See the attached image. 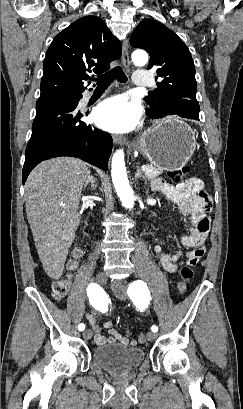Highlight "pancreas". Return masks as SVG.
<instances>
[{
  "mask_svg": "<svg viewBox=\"0 0 243 409\" xmlns=\"http://www.w3.org/2000/svg\"><path fill=\"white\" fill-rule=\"evenodd\" d=\"M148 169L144 171L146 178L152 180L156 177H158L163 170L157 167H154L152 165H147Z\"/></svg>",
  "mask_w": 243,
  "mask_h": 409,
  "instance_id": "pancreas-1",
  "label": "pancreas"
}]
</instances>
